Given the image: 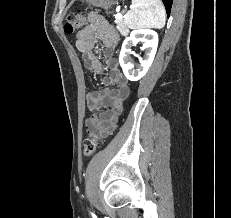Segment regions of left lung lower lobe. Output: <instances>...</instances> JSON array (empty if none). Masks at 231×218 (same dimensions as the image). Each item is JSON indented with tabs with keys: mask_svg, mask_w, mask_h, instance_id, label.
I'll return each mask as SVG.
<instances>
[{
	"mask_svg": "<svg viewBox=\"0 0 231 218\" xmlns=\"http://www.w3.org/2000/svg\"><path fill=\"white\" fill-rule=\"evenodd\" d=\"M162 1H163L164 5H165L167 15L169 16L173 0H162Z\"/></svg>",
	"mask_w": 231,
	"mask_h": 218,
	"instance_id": "1",
	"label": "left lung lower lobe"
}]
</instances>
